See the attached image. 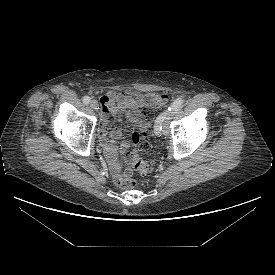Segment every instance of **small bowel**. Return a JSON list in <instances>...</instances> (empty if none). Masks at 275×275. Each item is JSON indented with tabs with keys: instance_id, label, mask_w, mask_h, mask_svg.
<instances>
[{
	"instance_id": "1",
	"label": "small bowel",
	"mask_w": 275,
	"mask_h": 275,
	"mask_svg": "<svg viewBox=\"0 0 275 275\" xmlns=\"http://www.w3.org/2000/svg\"><path fill=\"white\" fill-rule=\"evenodd\" d=\"M144 104V96L133 89H127L123 92H108L101 97L102 114L99 128V136L106 152L109 162L110 172L117 184L127 179L130 171L126 169L121 172L120 164L117 160L116 140L121 136V130L118 127L110 126L109 120L113 116L118 121L126 119L127 121L137 124L142 130L145 128L141 108ZM109 133L110 138L107 136ZM121 152L128 150V143L123 142L119 147ZM127 162L133 160V153L126 154Z\"/></svg>"
}]
</instances>
